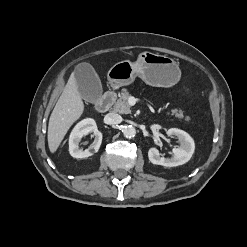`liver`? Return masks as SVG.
<instances>
[{"instance_id":"obj_1","label":"liver","mask_w":247,"mask_h":247,"mask_svg":"<svg viewBox=\"0 0 247 247\" xmlns=\"http://www.w3.org/2000/svg\"><path fill=\"white\" fill-rule=\"evenodd\" d=\"M84 111V103L78 91L74 73L70 76L49 119L48 146L51 153L56 152L64 136Z\"/></svg>"}]
</instances>
